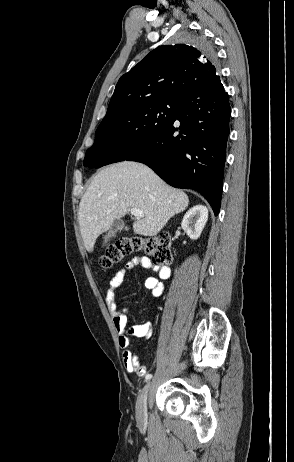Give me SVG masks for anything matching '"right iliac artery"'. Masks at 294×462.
<instances>
[{
	"instance_id": "right-iliac-artery-1",
	"label": "right iliac artery",
	"mask_w": 294,
	"mask_h": 462,
	"mask_svg": "<svg viewBox=\"0 0 294 462\" xmlns=\"http://www.w3.org/2000/svg\"><path fill=\"white\" fill-rule=\"evenodd\" d=\"M151 378H152V375H151V374H147V375L145 376V381H148V380H150Z\"/></svg>"
}]
</instances>
